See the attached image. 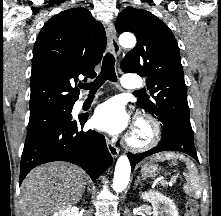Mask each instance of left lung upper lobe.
<instances>
[{
	"mask_svg": "<svg viewBox=\"0 0 221 216\" xmlns=\"http://www.w3.org/2000/svg\"><path fill=\"white\" fill-rule=\"evenodd\" d=\"M115 27L119 33L131 31L137 36L136 47L121 62L123 72L146 77L152 100L141 98L137 105L155 116L162 128L194 136L180 50L172 31L152 13L132 7L119 14Z\"/></svg>",
	"mask_w": 221,
	"mask_h": 216,
	"instance_id": "5c2ea615",
	"label": "left lung upper lobe"
}]
</instances>
